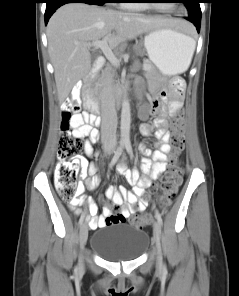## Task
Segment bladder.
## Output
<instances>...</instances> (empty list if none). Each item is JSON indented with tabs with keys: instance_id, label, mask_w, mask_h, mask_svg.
<instances>
[{
	"instance_id": "bladder-1",
	"label": "bladder",
	"mask_w": 239,
	"mask_h": 296,
	"mask_svg": "<svg viewBox=\"0 0 239 296\" xmlns=\"http://www.w3.org/2000/svg\"><path fill=\"white\" fill-rule=\"evenodd\" d=\"M148 233L129 224L106 225L97 231L91 249L111 262H128L139 258L149 246Z\"/></svg>"
}]
</instances>
